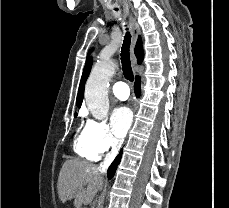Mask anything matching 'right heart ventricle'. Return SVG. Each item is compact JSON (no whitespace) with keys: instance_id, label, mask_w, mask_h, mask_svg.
<instances>
[{"instance_id":"obj_1","label":"right heart ventricle","mask_w":229,"mask_h":208,"mask_svg":"<svg viewBox=\"0 0 229 208\" xmlns=\"http://www.w3.org/2000/svg\"><path fill=\"white\" fill-rule=\"evenodd\" d=\"M74 149L75 151L89 160H94L98 157L90 147H88L83 139V133L80 136H77L74 140Z\"/></svg>"}]
</instances>
